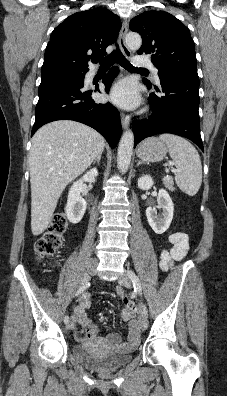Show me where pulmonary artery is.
<instances>
[{"label":"pulmonary artery","mask_w":227,"mask_h":396,"mask_svg":"<svg viewBox=\"0 0 227 396\" xmlns=\"http://www.w3.org/2000/svg\"><path fill=\"white\" fill-rule=\"evenodd\" d=\"M133 64L137 67H149L152 69L153 73L157 76L158 70L156 69V67H154V65L148 58L143 56H136L133 59Z\"/></svg>","instance_id":"obj_1"}]
</instances>
